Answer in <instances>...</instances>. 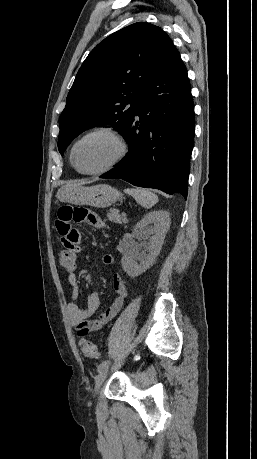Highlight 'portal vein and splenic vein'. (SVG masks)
Returning <instances> with one entry per match:
<instances>
[{
    "label": "portal vein and splenic vein",
    "mask_w": 257,
    "mask_h": 459,
    "mask_svg": "<svg viewBox=\"0 0 257 459\" xmlns=\"http://www.w3.org/2000/svg\"><path fill=\"white\" fill-rule=\"evenodd\" d=\"M123 216H124V221H126V220H127V219H126V214H123Z\"/></svg>",
    "instance_id": "portal-vein-and-splenic-vein-1"
}]
</instances>
